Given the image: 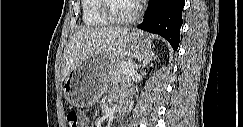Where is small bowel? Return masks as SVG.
<instances>
[{
	"instance_id": "small-bowel-1",
	"label": "small bowel",
	"mask_w": 243,
	"mask_h": 127,
	"mask_svg": "<svg viewBox=\"0 0 243 127\" xmlns=\"http://www.w3.org/2000/svg\"><path fill=\"white\" fill-rule=\"evenodd\" d=\"M122 93H123V95H125V94H128V91L124 90ZM84 126L85 127L89 126V120L87 118H84Z\"/></svg>"
}]
</instances>
